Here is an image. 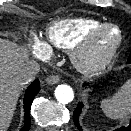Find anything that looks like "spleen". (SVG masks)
Wrapping results in <instances>:
<instances>
[{
  "mask_svg": "<svg viewBox=\"0 0 131 131\" xmlns=\"http://www.w3.org/2000/svg\"><path fill=\"white\" fill-rule=\"evenodd\" d=\"M101 108L107 117L124 118L131 114V79L127 80L112 97L101 101Z\"/></svg>",
  "mask_w": 131,
  "mask_h": 131,
  "instance_id": "1",
  "label": "spleen"
}]
</instances>
